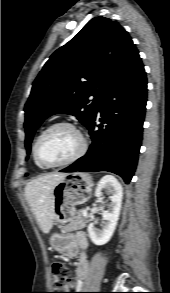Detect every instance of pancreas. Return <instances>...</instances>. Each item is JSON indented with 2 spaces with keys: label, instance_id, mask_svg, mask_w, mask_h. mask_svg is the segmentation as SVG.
Instances as JSON below:
<instances>
[{
  "label": "pancreas",
  "instance_id": "cf45deb5",
  "mask_svg": "<svg viewBox=\"0 0 170 293\" xmlns=\"http://www.w3.org/2000/svg\"><path fill=\"white\" fill-rule=\"evenodd\" d=\"M87 219L83 217V213L81 211L77 212L75 216L71 219L69 224H67L64 228L66 230H78L82 229L86 226Z\"/></svg>",
  "mask_w": 170,
  "mask_h": 293
}]
</instances>
